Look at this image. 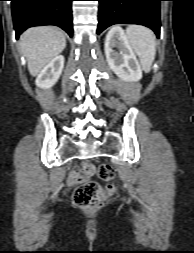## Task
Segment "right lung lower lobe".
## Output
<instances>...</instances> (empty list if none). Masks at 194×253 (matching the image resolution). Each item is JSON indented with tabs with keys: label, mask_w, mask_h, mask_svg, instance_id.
Returning a JSON list of instances; mask_svg holds the SVG:
<instances>
[{
	"label": "right lung lower lobe",
	"mask_w": 194,
	"mask_h": 253,
	"mask_svg": "<svg viewBox=\"0 0 194 253\" xmlns=\"http://www.w3.org/2000/svg\"><path fill=\"white\" fill-rule=\"evenodd\" d=\"M72 0H11L16 38L29 27L56 25L72 37Z\"/></svg>",
	"instance_id": "98d812e1"
}]
</instances>
